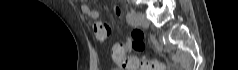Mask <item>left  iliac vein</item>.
<instances>
[{
  "mask_svg": "<svg viewBox=\"0 0 238 70\" xmlns=\"http://www.w3.org/2000/svg\"><path fill=\"white\" fill-rule=\"evenodd\" d=\"M136 25L141 26V27H148L149 22L146 19V16L142 12H136L134 15Z\"/></svg>",
  "mask_w": 238,
  "mask_h": 70,
  "instance_id": "4c4485c4",
  "label": "left iliac vein"
}]
</instances>
